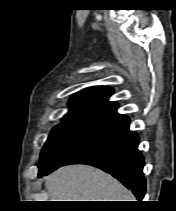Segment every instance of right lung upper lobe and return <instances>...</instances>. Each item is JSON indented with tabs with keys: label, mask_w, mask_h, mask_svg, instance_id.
Masks as SVG:
<instances>
[{
	"label": "right lung upper lobe",
	"mask_w": 176,
	"mask_h": 211,
	"mask_svg": "<svg viewBox=\"0 0 176 211\" xmlns=\"http://www.w3.org/2000/svg\"><path fill=\"white\" fill-rule=\"evenodd\" d=\"M114 90L106 86H94L83 89L69 101L70 111L66 119L100 124L121 116L117 113L118 104L108 99Z\"/></svg>",
	"instance_id": "1"
}]
</instances>
